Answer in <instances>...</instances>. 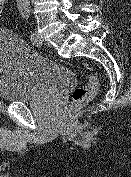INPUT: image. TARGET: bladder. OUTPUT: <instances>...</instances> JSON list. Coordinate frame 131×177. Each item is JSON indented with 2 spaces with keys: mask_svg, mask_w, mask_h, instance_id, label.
<instances>
[{
  "mask_svg": "<svg viewBox=\"0 0 131 177\" xmlns=\"http://www.w3.org/2000/svg\"><path fill=\"white\" fill-rule=\"evenodd\" d=\"M76 84L75 73L29 49L12 32H0V99L43 101Z\"/></svg>",
  "mask_w": 131,
  "mask_h": 177,
  "instance_id": "1",
  "label": "bladder"
}]
</instances>
